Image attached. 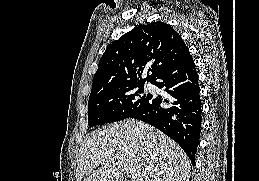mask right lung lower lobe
I'll return each mask as SVG.
<instances>
[{
  "label": "right lung lower lobe",
  "instance_id": "98d812e1",
  "mask_svg": "<svg viewBox=\"0 0 259 181\" xmlns=\"http://www.w3.org/2000/svg\"><path fill=\"white\" fill-rule=\"evenodd\" d=\"M152 84L165 88L171 99L152 95L130 118L142 120L165 133L181 146L194 164L202 116L198 74L190 53L162 71ZM163 101L168 105L161 106Z\"/></svg>",
  "mask_w": 259,
  "mask_h": 181
}]
</instances>
